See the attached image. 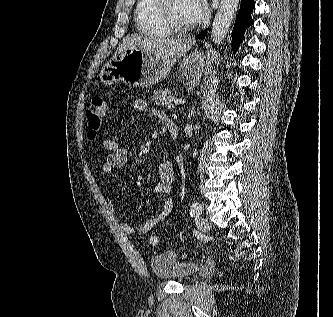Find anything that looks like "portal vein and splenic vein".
<instances>
[{"label": "portal vein and splenic vein", "instance_id": "obj_1", "mask_svg": "<svg viewBox=\"0 0 333 317\" xmlns=\"http://www.w3.org/2000/svg\"><path fill=\"white\" fill-rule=\"evenodd\" d=\"M169 101L170 102L172 101L175 105H182V104L185 103V100H183V99H176L174 97L169 98Z\"/></svg>", "mask_w": 333, "mask_h": 317}]
</instances>
